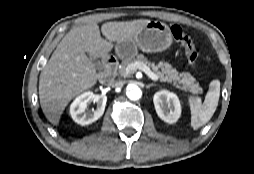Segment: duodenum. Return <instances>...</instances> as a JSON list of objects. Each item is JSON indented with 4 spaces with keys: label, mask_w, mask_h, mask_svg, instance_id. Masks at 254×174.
<instances>
[{
    "label": "duodenum",
    "mask_w": 254,
    "mask_h": 174,
    "mask_svg": "<svg viewBox=\"0 0 254 174\" xmlns=\"http://www.w3.org/2000/svg\"><path fill=\"white\" fill-rule=\"evenodd\" d=\"M118 69V61L115 57L109 56L103 62V70L99 74V82L104 85L111 84L115 81Z\"/></svg>",
    "instance_id": "410a0bca"
}]
</instances>
